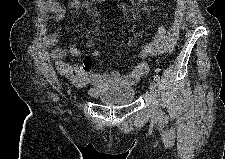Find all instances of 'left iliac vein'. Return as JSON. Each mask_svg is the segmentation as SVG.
Here are the masks:
<instances>
[{"label":"left iliac vein","mask_w":225,"mask_h":159,"mask_svg":"<svg viewBox=\"0 0 225 159\" xmlns=\"http://www.w3.org/2000/svg\"><path fill=\"white\" fill-rule=\"evenodd\" d=\"M156 86H157V84L155 82H151V84H150V96H151L152 99H155V96H156ZM157 114H158L157 111L154 110L153 116L155 117V116H157Z\"/></svg>","instance_id":"obj_1"}]
</instances>
